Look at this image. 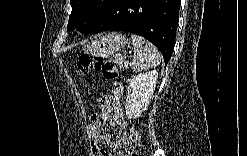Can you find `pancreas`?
I'll return each instance as SVG.
<instances>
[{"label":"pancreas","mask_w":247,"mask_h":156,"mask_svg":"<svg viewBox=\"0 0 247 156\" xmlns=\"http://www.w3.org/2000/svg\"><path fill=\"white\" fill-rule=\"evenodd\" d=\"M118 64H119V66H120L121 68L123 67V63H122L121 60L118 61Z\"/></svg>","instance_id":"1"}]
</instances>
